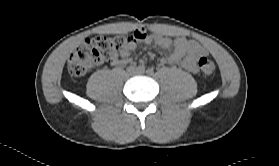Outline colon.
<instances>
[{
    "label": "colon",
    "instance_id": "5ec220e1",
    "mask_svg": "<svg viewBox=\"0 0 279 166\" xmlns=\"http://www.w3.org/2000/svg\"><path fill=\"white\" fill-rule=\"evenodd\" d=\"M138 35L109 36L102 35L88 38L72 53L68 68L73 76L81 77L104 61L118 57L126 46L136 40ZM200 71L205 76H212L216 71V62L209 56H202L198 61Z\"/></svg>",
    "mask_w": 279,
    "mask_h": 166
}]
</instances>
